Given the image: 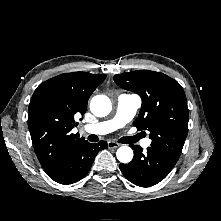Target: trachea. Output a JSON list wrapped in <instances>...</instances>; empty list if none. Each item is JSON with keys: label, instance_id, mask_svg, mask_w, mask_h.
<instances>
[{"label": "trachea", "instance_id": "1", "mask_svg": "<svg viewBox=\"0 0 221 221\" xmlns=\"http://www.w3.org/2000/svg\"><path fill=\"white\" fill-rule=\"evenodd\" d=\"M141 137H142L141 134H138V135L132 136V137H124V138H122V143H125V144L135 143ZM88 139H89V141H92V142H97L98 141V137L96 135H90L88 137Z\"/></svg>", "mask_w": 221, "mask_h": 221}]
</instances>
